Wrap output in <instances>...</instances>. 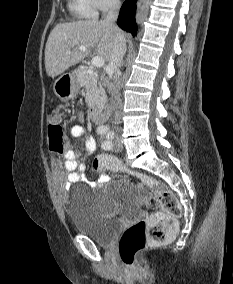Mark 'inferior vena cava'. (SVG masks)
<instances>
[{
  "label": "inferior vena cava",
  "instance_id": "inferior-vena-cava-1",
  "mask_svg": "<svg viewBox=\"0 0 233 284\" xmlns=\"http://www.w3.org/2000/svg\"><path fill=\"white\" fill-rule=\"evenodd\" d=\"M119 9H120V1L111 0L110 9L104 21L106 23L115 25V22L119 14ZM125 53H126V41H125L124 35L119 32L116 35L113 53L109 61V76L110 77H112V75L117 72L118 67H121L122 59ZM111 91L113 92V98H114V99H111V102L113 104V110H115V106H116L115 100L118 98V94L114 87L111 88ZM112 123H114L115 125H118L120 121L117 118H115V120ZM116 129L118 130V127Z\"/></svg>",
  "mask_w": 233,
  "mask_h": 284
}]
</instances>
